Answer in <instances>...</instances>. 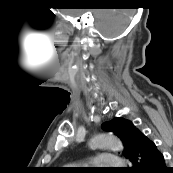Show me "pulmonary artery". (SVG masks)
Listing matches in <instances>:
<instances>
[{
	"label": "pulmonary artery",
	"instance_id": "1",
	"mask_svg": "<svg viewBox=\"0 0 173 173\" xmlns=\"http://www.w3.org/2000/svg\"><path fill=\"white\" fill-rule=\"evenodd\" d=\"M89 163L102 168H114L121 166L122 160L113 154H102L93 158Z\"/></svg>",
	"mask_w": 173,
	"mask_h": 173
}]
</instances>
